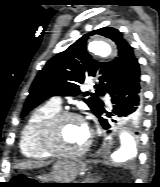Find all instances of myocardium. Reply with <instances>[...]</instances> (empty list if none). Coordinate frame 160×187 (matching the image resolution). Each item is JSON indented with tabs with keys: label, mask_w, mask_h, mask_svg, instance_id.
Segmentation results:
<instances>
[{
	"label": "myocardium",
	"mask_w": 160,
	"mask_h": 187,
	"mask_svg": "<svg viewBox=\"0 0 160 187\" xmlns=\"http://www.w3.org/2000/svg\"><path fill=\"white\" fill-rule=\"evenodd\" d=\"M69 119L80 120L85 125L86 119L79 113L74 111H59L50 117L43 126L41 133V141L43 148L52 156L59 158H77L87 153L91 146V136L88 135L87 143L77 151H65L59 146L60 128L64 121Z\"/></svg>",
	"instance_id": "obj_1"
}]
</instances>
